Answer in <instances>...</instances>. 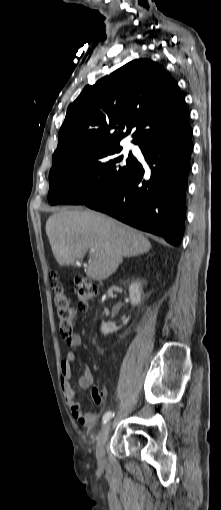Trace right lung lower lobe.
<instances>
[{"mask_svg":"<svg viewBox=\"0 0 221 510\" xmlns=\"http://www.w3.org/2000/svg\"><path fill=\"white\" fill-rule=\"evenodd\" d=\"M192 129L145 142L140 148L150 169L139 163L123 183L85 203L137 229L179 246L183 237Z\"/></svg>","mask_w":221,"mask_h":510,"instance_id":"obj_1","label":"right lung lower lobe"}]
</instances>
